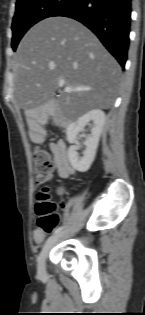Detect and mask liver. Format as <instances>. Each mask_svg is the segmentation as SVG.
<instances>
[{"instance_id": "6515ba94", "label": "liver", "mask_w": 145, "mask_h": 315, "mask_svg": "<svg viewBox=\"0 0 145 315\" xmlns=\"http://www.w3.org/2000/svg\"><path fill=\"white\" fill-rule=\"evenodd\" d=\"M121 67L99 39L81 23L50 17L34 25L21 40L13 61V100L28 120L45 109L70 124L95 108L108 109L118 87ZM88 91L64 92L58 82Z\"/></svg>"}]
</instances>
